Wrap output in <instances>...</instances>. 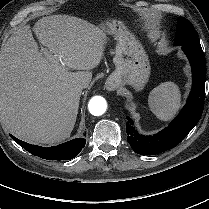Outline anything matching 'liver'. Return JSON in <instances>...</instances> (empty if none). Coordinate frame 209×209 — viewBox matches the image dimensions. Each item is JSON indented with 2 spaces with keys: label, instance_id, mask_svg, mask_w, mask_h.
Returning <instances> with one entry per match:
<instances>
[{
  "label": "liver",
  "instance_id": "6515ba94",
  "mask_svg": "<svg viewBox=\"0 0 209 209\" xmlns=\"http://www.w3.org/2000/svg\"><path fill=\"white\" fill-rule=\"evenodd\" d=\"M32 31L56 63L39 51ZM106 41L99 27L69 15L43 17L32 30L17 29L0 53V113L9 131L31 143L66 140L78 114L81 93L75 86H89Z\"/></svg>",
  "mask_w": 209,
  "mask_h": 209
}]
</instances>
